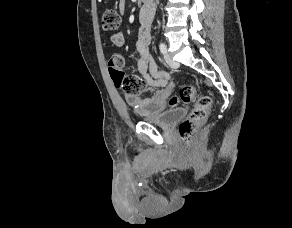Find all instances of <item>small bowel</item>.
<instances>
[{
    "label": "small bowel",
    "instance_id": "small-bowel-1",
    "mask_svg": "<svg viewBox=\"0 0 292 228\" xmlns=\"http://www.w3.org/2000/svg\"><path fill=\"white\" fill-rule=\"evenodd\" d=\"M119 9L121 12L124 11V0L119 1ZM153 15L152 6H144L139 13L140 27L136 42L139 57L136 71L142 77L143 88L137 96L127 97L128 103L141 116H154L161 113L165 109L166 98L173 88L170 73L158 69L150 52ZM111 40L118 47H122L125 42L121 33L112 34ZM146 89H154V91L149 96H142L141 93Z\"/></svg>",
    "mask_w": 292,
    "mask_h": 228
}]
</instances>
